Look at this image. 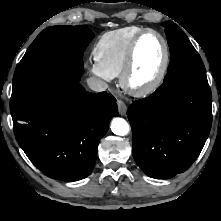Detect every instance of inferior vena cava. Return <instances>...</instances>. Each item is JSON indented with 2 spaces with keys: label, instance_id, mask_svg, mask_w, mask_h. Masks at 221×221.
<instances>
[{
  "label": "inferior vena cava",
  "instance_id": "602c4592",
  "mask_svg": "<svg viewBox=\"0 0 221 221\" xmlns=\"http://www.w3.org/2000/svg\"><path fill=\"white\" fill-rule=\"evenodd\" d=\"M87 84H88L89 88L95 92L105 91L108 88V85L106 82H104L101 79H98L96 77L88 78Z\"/></svg>",
  "mask_w": 221,
  "mask_h": 221
}]
</instances>
